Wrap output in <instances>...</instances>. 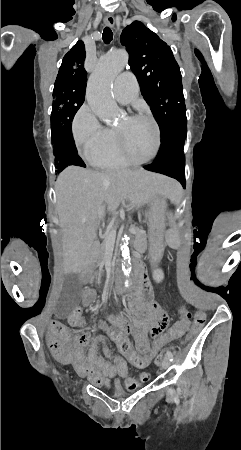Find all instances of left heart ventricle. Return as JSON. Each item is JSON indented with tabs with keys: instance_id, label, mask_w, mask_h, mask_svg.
Masks as SVG:
<instances>
[{
	"instance_id": "1",
	"label": "left heart ventricle",
	"mask_w": 241,
	"mask_h": 450,
	"mask_svg": "<svg viewBox=\"0 0 241 450\" xmlns=\"http://www.w3.org/2000/svg\"><path fill=\"white\" fill-rule=\"evenodd\" d=\"M155 120L153 117L145 112H141L132 116V121H124L123 140L126 149H129V156L136 157L131 160L129 166L131 169H138L144 163V160H152L154 148V132L157 127H153ZM120 123L118 124V128Z\"/></svg>"
}]
</instances>
